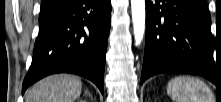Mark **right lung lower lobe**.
I'll return each instance as SVG.
<instances>
[{
    "label": "right lung lower lobe",
    "instance_id": "98d812e1",
    "mask_svg": "<svg viewBox=\"0 0 221 102\" xmlns=\"http://www.w3.org/2000/svg\"><path fill=\"white\" fill-rule=\"evenodd\" d=\"M39 25L22 94L43 77L62 72L91 80L103 93L110 0H66L39 17Z\"/></svg>",
    "mask_w": 221,
    "mask_h": 102
}]
</instances>
